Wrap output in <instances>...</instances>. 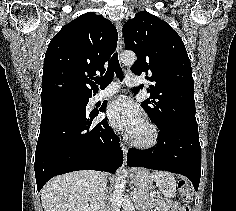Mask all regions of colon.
<instances>
[{"label":"colon","mask_w":236,"mask_h":211,"mask_svg":"<svg viewBox=\"0 0 236 211\" xmlns=\"http://www.w3.org/2000/svg\"><path fill=\"white\" fill-rule=\"evenodd\" d=\"M178 189L180 190L181 194H182V199L183 201L188 204L191 202L192 200V194L190 191V186L189 183L186 181H180L178 184ZM182 211H190L189 207L187 205H185L182 208Z\"/></svg>","instance_id":"obj_1"}]
</instances>
